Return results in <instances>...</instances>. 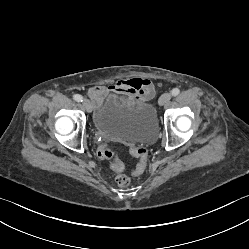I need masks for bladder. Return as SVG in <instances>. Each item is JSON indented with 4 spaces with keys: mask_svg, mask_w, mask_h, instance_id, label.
<instances>
[{
    "mask_svg": "<svg viewBox=\"0 0 249 249\" xmlns=\"http://www.w3.org/2000/svg\"><path fill=\"white\" fill-rule=\"evenodd\" d=\"M95 125L126 143H151L158 133L156 111L150 102L132 104L115 93L99 106Z\"/></svg>",
    "mask_w": 249,
    "mask_h": 249,
    "instance_id": "1",
    "label": "bladder"
}]
</instances>
